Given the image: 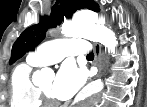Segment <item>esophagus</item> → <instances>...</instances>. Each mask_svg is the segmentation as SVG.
<instances>
[{
  "label": "esophagus",
  "mask_w": 147,
  "mask_h": 107,
  "mask_svg": "<svg viewBox=\"0 0 147 107\" xmlns=\"http://www.w3.org/2000/svg\"><path fill=\"white\" fill-rule=\"evenodd\" d=\"M93 45H94V52H95V62L98 67L97 76H100L104 69V56H103L101 45L96 42Z\"/></svg>",
  "instance_id": "obj_1"
}]
</instances>
